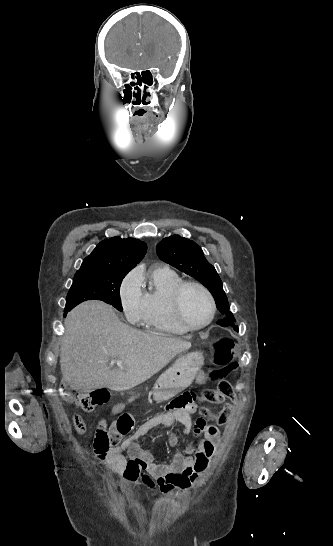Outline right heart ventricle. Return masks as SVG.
I'll return each instance as SVG.
<instances>
[{
  "label": "right heart ventricle",
  "instance_id": "1",
  "mask_svg": "<svg viewBox=\"0 0 333 546\" xmlns=\"http://www.w3.org/2000/svg\"><path fill=\"white\" fill-rule=\"evenodd\" d=\"M182 277L167 267H157L141 279L143 316L141 322L145 328L169 335L187 333L175 319L171 310V294L182 282Z\"/></svg>",
  "mask_w": 333,
  "mask_h": 546
}]
</instances>
